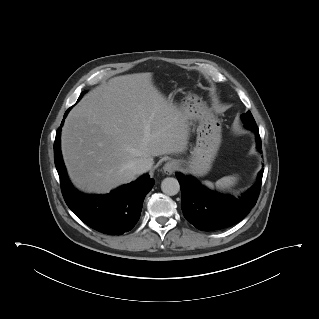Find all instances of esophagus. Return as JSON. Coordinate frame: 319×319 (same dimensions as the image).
I'll return each instance as SVG.
<instances>
[{
	"label": "esophagus",
	"instance_id": "1",
	"mask_svg": "<svg viewBox=\"0 0 319 319\" xmlns=\"http://www.w3.org/2000/svg\"><path fill=\"white\" fill-rule=\"evenodd\" d=\"M177 168V164L174 161H168L167 163H165V165L163 166V171L170 175L172 174Z\"/></svg>",
	"mask_w": 319,
	"mask_h": 319
}]
</instances>
